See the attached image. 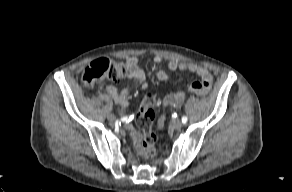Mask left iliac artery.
Wrapping results in <instances>:
<instances>
[{
  "instance_id": "44dca946",
  "label": "left iliac artery",
  "mask_w": 292,
  "mask_h": 192,
  "mask_svg": "<svg viewBox=\"0 0 292 192\" xmlns=\"http://www.w3.org/2000/svg\"><path fill=\"white\" fill-rule=\"evenodd\" d=\"M187 122V117L186 116H183L182 117V123H186Z\"/></svg>"
}]
</instances>
